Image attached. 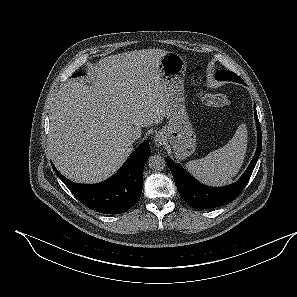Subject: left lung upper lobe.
Masks as SVG:
<instances>
[{"label": "left lung upper lobe", "mask_w": 297, "mask_h": 297, "mask_svg": "<svg viewBox=\"0 0 297 297\" xmlns=\"http://www.w3.org/2000/svg\"><path fill=\"white\" fill-rule=\"evenodd\" d=\"M216 78L221 81L230 80V81H236L244 84V81L238 75L230 71H223V70L218 71L216 73Z\"/></svg>", "instance_id": "left-lung-upper-lobe-1"}]
</instances>
